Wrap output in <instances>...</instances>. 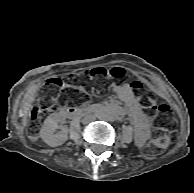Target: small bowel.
Wrapping results in <instances>:
<instances>
[{
  "mask_svg": "<svg viewBox=\"0 0 194 193\" xmlns=\"http://www.w3.org/2000/svg\"><path fill=\"white\" fill-rule=\"evenodd\" d=\"M113 90L118 98L125 104V111L136 131L137 142L143 144L149 135V119L139 107L138 101L129 85L115 86Z\"/></svg>",
  "mask_w": 194,
  "mask_h": 193,
  "instance_id": "obj_1",
  "label": "small bowel"
}]
</instances>
